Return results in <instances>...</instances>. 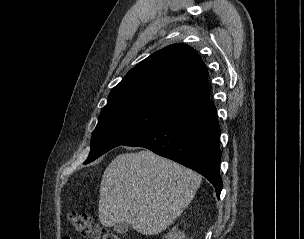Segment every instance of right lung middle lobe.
I'll list each match as a JSON object with an SVG mask.
<instances>
[{
  "label": "right lung middle lobe",
  "instance_id": "dd1d6c3e",
  "mask_svg": "<svg viewBox=\"0 0 304 239\" xmlns=\"http://www.w3.org/2000/svg\"><path fill=\"white\" fill-rule=\"evenodd\" d=\"M168 117L144 109H121L103 113L91 138V150L85 163L107 151L154 129Z\"/></svg>",
  "mask_w": 304,
  "mask_h": 239
}]
</instances>
